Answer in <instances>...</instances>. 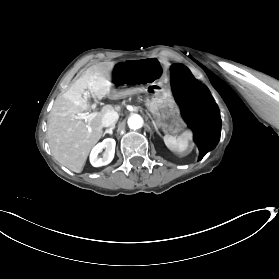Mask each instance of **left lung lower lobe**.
<instances>
[{
  "instance_id": "left-lung-lower-lobe-1",
  "label": "left lung lower lobe",
  "mask_w": 279,
  "mask_h": 279,
  "mask_svg": "<svg viewBox=\"0 0 279 279\" xmlns=\"http://www.w3.org/2000/svg\"><path fill=\"white\" fill-rule=\"evenodd\" d=\"M170 78L175 100L198 131L199 160H201L220 140L219 109L208 89L196 80L184 65L173 64Z\"/></svg>"
}]
</instances>
